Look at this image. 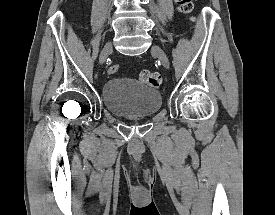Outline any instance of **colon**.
Segmentation results:
<instances>
[{
  "label": "colon",
  "mask_w": 275,
  "mask_h": 215,
  "mask_svg": "<svg viewBox=\"0 0 275 215\" xmlns=\"http://www.w3.org/2000/svg\"><path fill=\"white\" fill-rule=\"evenodd\" d=\"M181 12L189 14L193 10L192 0H176ZM118 65L112 64L108 68L109 74H115L118 71ZM140 80L153 88H158L162 84V76L158 72L150 70H142L140 72Z\"/></svg>",
  "instance_id": "5ec220e1"
}]
</instances>
